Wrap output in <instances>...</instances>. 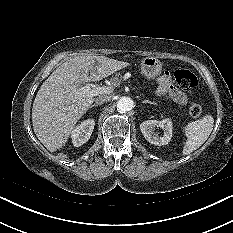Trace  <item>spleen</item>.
Returning <instances> with one entry per match:
<instances>
[{
	"label": "spleen",
	"instance_id": "1",
	"mask_svg": "<svg viewBox=\"0 0 233 233\" xmlns=\"http://www.w3.org/2000/svg\"><path fill=\"white\" fill-rule=\"evenodd\" d=\"M214 125V119L207 114L203 118L190 122L184 127L187 138L182 154L189 155L198 149L210 136Z\"/></svg>",
	"mask_w": 233,
	"mask_h": 233
}]
</instances>
